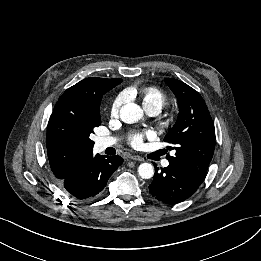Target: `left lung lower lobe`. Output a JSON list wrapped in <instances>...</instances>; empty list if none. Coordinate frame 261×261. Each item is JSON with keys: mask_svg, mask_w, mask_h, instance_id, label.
Wrapping results in <instances>:
<instances>
[{"mask_svg": "<svg viewBox=\"0 0 261 261\" xmlns=\"http://www.w3.org/2000/svg\"><path fill=\"white\" fill-rule=\"evenodd\" d=\"M155 168L153 182L149 186L151 195L166 204L174 205L192 196L200 184L190 179L181 169L169 164L158 172Z\"/></svg>", "mask_w": 261, "mask_h": 261, "instance_id": "1", "label": "left lung lower lobe"}]
</instances>
